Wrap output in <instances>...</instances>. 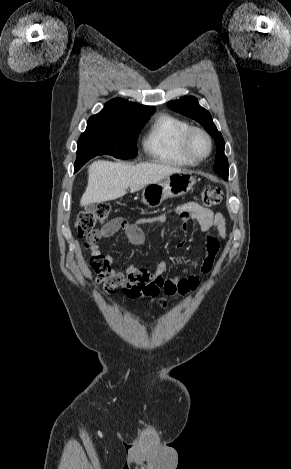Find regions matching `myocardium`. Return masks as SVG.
<instances>
[{"instance_id":"obj_1","label":"myocardium","mask_w":291,"mask_h":469,"mask_svg":"<svg viewBox=\"0 0 291 469\" xmlns=\"http://www.w3.org/2000/svg\"><path fill=\"white\" fill-rule=\"evenodd\" d=\"M201 134L207 140L208 150L203 156H197L191 149V140L195 134ZM181 149L184 155L195 163L205 160L213 150L212 138L207 131L200 127L191 126L182 135Z\"/></svg>"}]
</instances>
